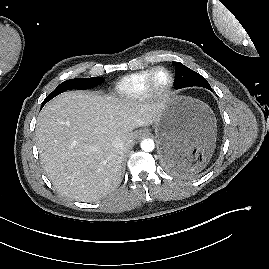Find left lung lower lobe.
<instances>
[{
  "mask_svg": "<svg viewBox=\"0 0 269 269\" xmlns=\"http://www.w3.org/2000/svg\"><path fill=\"white\" fill-rule=\"evenodd\" d=\"M179 157H180L179 150L176 146L166 145L164 147L162 163L167 169L172 171H181L176 168Z\"/></svg>",
  "mask_w": 269,
  "mask_h": 269,
  "instance_id": "obj_1",
  "label": "left lung lower lobe"
}]
</instances>
